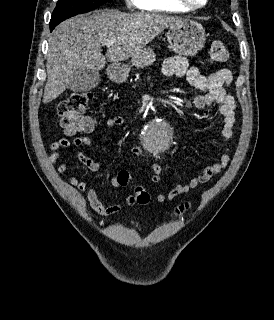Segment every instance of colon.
<instances>
[{"instance_id": "5ec220e1", "label": "colon", "mask_w": 274, "mask_h": 320, "mask_svg": "<svg viewBox=\"0 0 274 320\" xmlns=\"http://www.w3.org/2000/svg\"><path fill=\"white\" fill-rule=\"evenodd\" d=\"M209 54L210 59L217 64L226 63L230 57L228 50L222 43H213ZM94 97L92 91H77L60 102L56 112L60 119L61 129L65 135L64 138H74L75 134H82V130H84L83 121L95 120L93 117L85 114L89 102L93 100ZM116 175L117 186H128L129 182L134 181V176L129 175L128 169H117ZM133 196L141 204L148 203L150 199L148 192L142 187H137ZM189 207V202L181 204L177 208V212L181 213Z\"/></svg>"}]
</instances>
